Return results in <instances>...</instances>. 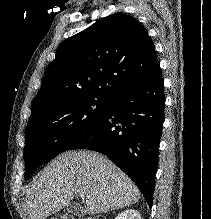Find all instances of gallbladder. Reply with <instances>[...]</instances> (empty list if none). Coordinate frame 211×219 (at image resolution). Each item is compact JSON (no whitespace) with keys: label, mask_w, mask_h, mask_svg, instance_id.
<instances>
[{"label":"gallbladder","mask_w":211,"mask_h":219,"mask_svg":"<svg viewBox=\"0 0 211 219\" xmlns=\"http://www.w3.org/2000/svg\"><path fill=\"white\" fill-rule=\"evenodd\" d=\"M66 211L70 214L81 215L83 214V209L77 203H70L66 206Z\"/></svg>","instance_id":"bac80fb5"}]
</instances>
